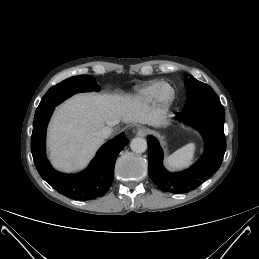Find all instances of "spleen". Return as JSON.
<instances>
[{"instance_id":"obj_1","label":"spleen","mask_w":259,"mask_h":259,"mask_svg":"<svg viewBox=\"0 0 259 259\" xmlns=\"http://www.w3.org/2000/svg\"><path fill=\"white\" fill-rule=\"evenodd\" d=\"M195 144L189 143L176 150L166 159V165L172 169H182L188 167L194 158Z\"/></svg>"}]
</instances>
